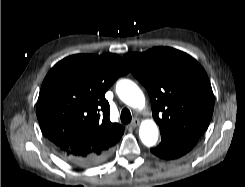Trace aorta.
<instances>
[{
  "mask_svg": "<svg viewBox=\"0 0 245 187\" xmlns=\"http://www.w3.org/2000/svg\"><path fill=\"white\" fill-rule=\"evenodd\" d=\"M116 92L119 98L133 108H142L145 104V97L141 89L131 80H120L116 85ZM141 141L146 146H153L158 140V128L154 121L145 120L139 129Z\"/></svg>",
  "mask_w": 245,
  "mask_h": 187,
  "instance_id": "obj_1",
  "label": "aorta"
}]
</instances>
